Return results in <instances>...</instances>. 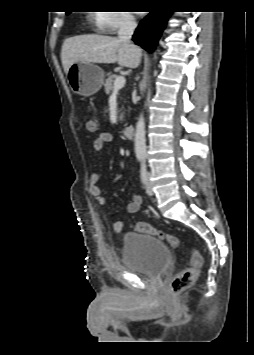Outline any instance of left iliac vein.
<instances>
[{"label": "left iliac vein", "mask_w": 254, "mask_h": 355, "mask_svg": "<svg viewBox=\"0 0 254 355\" xmlns=\"http://www.w3.org/2000/svg\"><path fill=\"white\" fill-rule=\"evenodd\" d=\"M146 193L150 196H152L154 194L153 190H152V187H151V184L149 182V174H147L146 176Z\"/></svg>", "instance_id": "1"}]
</instances>
